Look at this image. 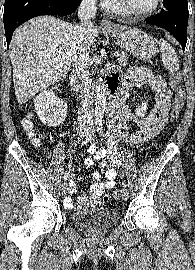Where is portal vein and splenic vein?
Segmentation results:
<instances>
[{
    "label": "portal vein and splenic vein",
    "instance_id": "18ae733b",
    "mask_svg": "<svg viewBox=\"0 0 195 270\" xmlns=\"http://www.w3.org/2000/svg\"><path fill=\"white\" fill-rule=\"evenodd\" d=\"M119 55H120V54H119L118 52H115V53H114V56H115V57H119Z\"/></svg>",
    "mask_w": 195,
    "mask_h": 270
}]
</instances>
